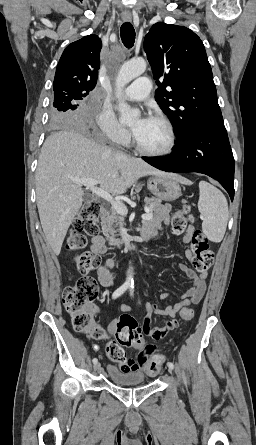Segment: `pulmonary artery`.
<instances>
[{
  "label": "pulmonary artery",
  "instance_id": "pulmonary-artery-1",
  "mask_svg": "<svg viewBox=\"0 0 256 445\" xmlns=\"http://www.w3.org/2000/svg\"><path fill=\"white\" fill-rule=\"evenodd\" d=\"M151 87L149 78L140 77L125 89L124 97L130 101H141L149 95Z\"/></svg>",
  "mask_w": 256,
  "mask_h": 445
}]
</instances>
